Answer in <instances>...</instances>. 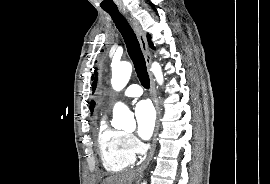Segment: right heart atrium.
Masks as SVG:
<instances>
[{
    "label": "right heart atrium",
    "instance_id": "obj_1",
    "mask_svg": "<svg viewBox=\"0 0 270 184\" xmlns=\"http://www.w3.org/2000/svg\"><path fill=\"white\" fill-rule=\"evenodd\" d=\"M127 141H128L129 146H130L135 152L140 151L141 145H140V143L138 142V140H137L133 135L128 134V135H127Z\"/></svg>",
    "mask_w": 270,
    "mask_h": 184
}]
</instances>
